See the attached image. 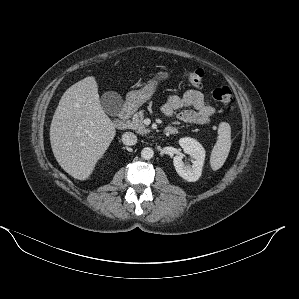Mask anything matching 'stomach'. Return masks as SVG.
Here are the masks:
<instances>
[{
	"label": "stomach",
	"instance_id": "obj_1",
	"mask_svg": "<svg viewBox=\"0 0 299 299\" xmlns=\"http://www.w3.org/2000/svg\"><path fill=\"white\" fill-rule=\"evenodd\" d=\"M170 77L171 73L168 71L158 72L152 79L148 81V83L143 88L128 93L126 107L130 110L138 109L146 101L151 99L159 83L161 81L169 79Z\"/></svg>",
	"mask_w": 299,
	"mask_h": 299
}]
</instances>
